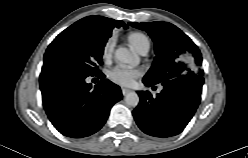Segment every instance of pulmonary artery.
<instances>
[{"label": "pulmonary artery", "instance_id": "1", "mask_svg": "<svg viewBox=\"0 0 248 158\" xmlns=\"http://www.w3.org/2000/svg\"><path fill=\"white\" fill-rule=\"evenodd\" d=\"M149 48H150V46H149V45L145 46V47H144V48L140 51V53H141L142 55L147 54V53H148V51H149Z\"/></svg>", "mask_w": 248, "mask_h": 158}]
</instances>
